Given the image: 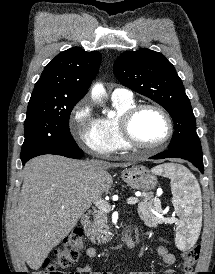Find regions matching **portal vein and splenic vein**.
<instances>
[{"label":"portal vein and splenic vein","instance_id":"portal-vein-and-splenic-vein-1","mask_svg":"<svg viewBox=\"0 0 215 274\" xmlns=\"http://www.w3.org/2000/svg\"><path fill=\"white\" fill-rule=\"evenodd\" d=\"M138 198L136 197H130L127 199V203L130 205H134L136 203H138ZM94 204L96 207H98V209L104 211V212H109L110 211V205L103 199H96L94 201Z\"/></svg>","mask_w":215,"mask_h":274}]
</instances>
